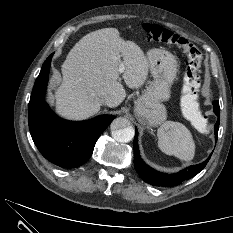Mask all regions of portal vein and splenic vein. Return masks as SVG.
I'll use <instances>...</instances> for the list:
<instances>
[{
	"label": "portal vein and splenic vein",
	"mask_w": 233,
	"mask_h": 233,
	"mask_svg": "<svg viewBox=\"0 0 233 233\" xmlns=\"http://www.w3.org/2000/svg\"><path fill=\"white\" fill-rule=\"evenodd\" d=\"M124 71H125V66H124V63L121 62L119 67H118V72L119 73H124Z\"/></svg>",
	"instance_id": "obj_1"
}]
</instances>
